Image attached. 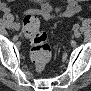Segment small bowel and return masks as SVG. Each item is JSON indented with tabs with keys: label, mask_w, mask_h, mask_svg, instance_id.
<instances>
[{
	"label": "small bowel",
	"mask_w": 91,
	"mask_h": 91,
	"mask_svg": "<svg viewBox=\"0 0 91 91\" xmlns=\"http://www.w3.org/2000/svg\"><path fill=\"white\" fill-rule=\"evenodd\" d=\"M36 8L30 9L27 13L31 14H40L42 16H51L52 14V6L50 1L48 0H36L35 1ZM1 9L4 12H9V8L6 3L1 4ZM80 11V5L75 0H69L65 3L64 7L58 11V15L61 17H69L77 14Z\"/></svg>",
	"instance_id": "small-bowel-1"
}]
</instances>
